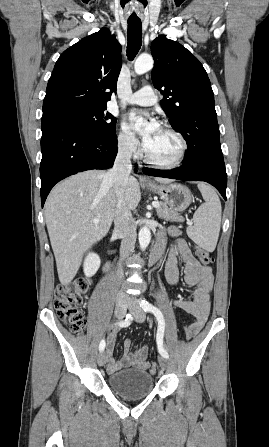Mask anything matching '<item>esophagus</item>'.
Wrapping results in <instances>:
<instances>
[{
  "instance_id": "1",
  "label": "esophagus",
  "mask_w": 269,
  "mask_h": 447,
  "mask_svg": "<svg viewBox=\"0 0 269 447\" xmlns=\"http://www.w3.org/2000/svg\"><path fill=\"white\" fill-rule=\"evenodd\" d=\"M144 183H152L150 180H144Z\"/></svg>"
}]
</instances>
